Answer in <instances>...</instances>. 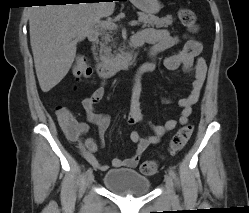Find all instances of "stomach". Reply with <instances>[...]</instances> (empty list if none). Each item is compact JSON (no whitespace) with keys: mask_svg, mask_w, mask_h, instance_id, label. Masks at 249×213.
Wrapping results in <instances>:
<instances>
[{"mask_svg":"<svg viewBox=\"0 0 249 213\" xmlns=\"http://www.w3.org/2000/svg\"><path fill=\"white\" fill-rule=\"evenodd\" d=\"M139 10L146 14H156L161 9L159 0H130Z\"/></svg>","mask_w":249,"mask_h":213,"instance_id":"stomach-1","label":"stomach"}]
</instances>
